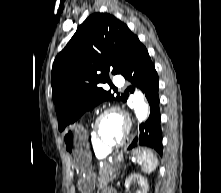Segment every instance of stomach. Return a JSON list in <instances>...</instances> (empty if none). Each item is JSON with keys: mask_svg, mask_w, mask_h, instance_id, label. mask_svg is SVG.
Returning a JSON list of instances; mask_svg holds the SVG:
<instances>
[{"mask_svg": "<svg viewBox=\"0 0 221 193\" xmlns=\"http://www.w3.org/2000/svg\"><path fill=\"white\" fill-rule=\"evenodd\" d=\"M63 138L64 152L69 155L70 159H75L74 167H79L78 171L83 172L82 182H88L87 188L80 186V190L90 191L93 188L94 182L101 179V174H90L94 172V167H91V154L88 147V137L82 125H67L66 133H61Z\"/></svg>", "mask_w": 221, "mask_h": 193, "instance_id": "stomach-1", "label": "stomach"}]
</instances>
